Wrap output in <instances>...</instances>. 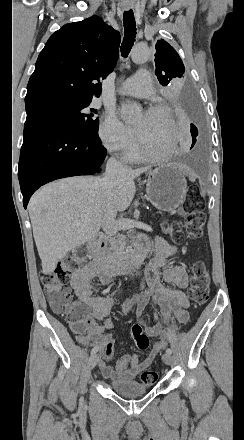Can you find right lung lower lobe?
Returning a JSON list of instances; mask_svg holds the SVG:
<instances>
[{
    "label": "right lung lower lobe",
    "instance_id": "obj_1",
    "mask_svg": "<svg viewBox=\"0 0 244 440\" xmlns=\"http://www.w3.org/2000/svg\"><path fill=\"white\" fill-rule=\"evenodd\" d=\"M105 157L98 132L86 134L51 120L26 119L18 169L24 208L42 185L93 175L100 171Z\"/></svg>",
    "mask_w": 244,
    "mask_h": 440
}]
</instances>
